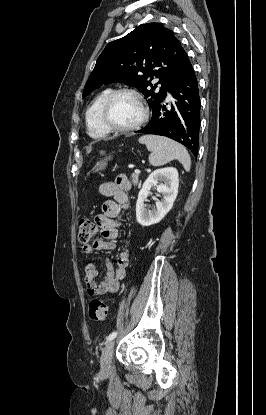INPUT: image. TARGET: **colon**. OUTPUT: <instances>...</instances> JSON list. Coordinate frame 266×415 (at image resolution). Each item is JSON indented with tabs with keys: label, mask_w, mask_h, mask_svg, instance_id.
I'll list each match as a JSON object with an SVG mask.
<instances>
[{
	"label": "colon",
	"mask_w": 266,
	"mask_h": 415,
	"mask_svg": "<svg viewBox=\"0 0 266 415\" xmlns=\"http://www.w3.org/2000/svg\"><path fill=\"white\" fill-rule=\"evenodd\" d=\"M98 233V225L90 219H81L78 224V239L80 243L87 244ZM109 309L107 304L100 299H93L89 303V316L95 322H103L107 319Z\"/></svg>",
	"instance_id": "obj_1"
}]
</instances>
